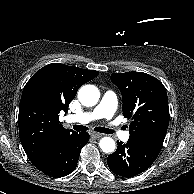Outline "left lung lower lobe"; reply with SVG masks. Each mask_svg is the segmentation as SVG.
Instances as JSON below:
<instances>
[{"label": "left lung lower lobe", "mask_w": 194, "mask_h": 194, "mask_svg": "<svg viewBox=\"0 0 194 194\" xmlns=\"http://www.w3.org/2000/svg\"><path fill=\"white\" fill-rule=\"evenodd\" d=\"M160 151V146L130 136L127 144L118 142L117 150L107 157V163L113 173L122 177H134L147 170Z\"/></svg>", "instance_id": "0a47b994"}]
</instances>
